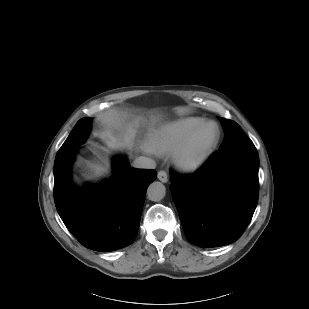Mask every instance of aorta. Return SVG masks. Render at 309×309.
<instances>
[{
	"instance_id": "aorta-1",
	"label": "aorta",
	"mask_w": 309,
	"mask_h": 309,
	"mask_svg": "<svg viewBox=\"0 0 309 309\" xmlns=\"http://www.w3.org/2000/svg\"><path fill=\"white\" fill-rule=\"evenodd\" d=\"M147 195L151 201H160L166 195V188L161 182L155 181L149 185Z\"/></svg>"
}]
</instances>
